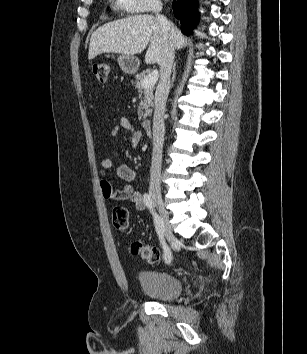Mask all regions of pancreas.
<instances>
[{
    "instance_id": "cf45deb5",
    "label": "pancreas",
    "mask_w": 307,
    "mask_h": 354,
    "mask_svg": "<svg viewBox=\"0 0 307 354\" xmlns=\"http://www.w3.org/2000/svg\"><path fill=\"white\" fill-rule=\"evenodd\" d=\"M146 76L147 75L145 72L139 73L135 76V79L132 81V84L134 85L135 89L138 90L139 98L141 99L138 107V118L140 120L146 119L148 116H150L152 113V108L154 106V102H153L154 87L151 86L149 88H143L141 84Z\"/></svg>"
}]
</instances>
